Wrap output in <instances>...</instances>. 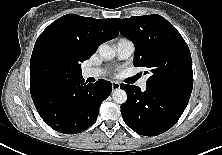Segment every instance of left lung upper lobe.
Returning a JSON list of instances; mask_svg holds the SVG:
<instances>
[{
	"label": "left lung upper lobe",
	"instance_id": "obj_1",
	"mask_svg": "<svg viewBox=\"0 0 222 155\" xmlns=\"http://www.w3.org/2000/svg\"><path fill=\"white\" fill-rule=\"evenodd\" d=\"M114 23L135 45L134 66L150 71L147 86L190 98L193 87L191 54L170 22L153 14L115 18Z\"/></svg>",
	"mask_w": 222,
	"mask_h": 155
}]
</instances>
